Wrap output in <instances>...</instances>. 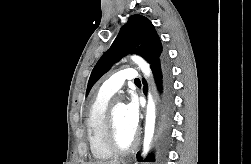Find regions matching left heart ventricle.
Here are the masks:
<instances>
[{"label":"left heart ventricle","instance_id":"1","mask_svg":"<svg viewBox=\"0 0 251 164\" xmlns=\"http://www.w3.org/2000/svg\"><path fill=\"white\" fill-rule=\"evenodd\" d=\"M114 117L118 141L122 146H128L132 142L135 132H133L126 123L124 106L116 105L114 107Z\"/></svg>","mask_w":251,"mask_h":164}]
</instances>
